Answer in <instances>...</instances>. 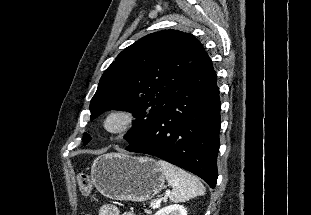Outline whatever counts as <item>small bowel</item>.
<instances>
[{
	"mask_svg": "<svg viewBox=\"0 0 311 215\" xmlns=\"http://www.w3.org/2000/svg\"><path fill=\"white\" fill-rule=\"evenodd\" d=\"M98 215H135V214H133L132 212H124L120 214L119 209L115 205L104 204L100 207Z\"/></svg>",
	"mask_w": 311,
	"mask_h": 215,
	"instance_id": "small-bowel-1",
	"label": "small bowel"
}]
</instances>
